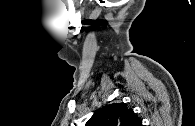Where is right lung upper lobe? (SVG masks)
Here are the masks:
<instances>
[{"label":"right lung upper lobe","mask_w":195,"mask_h":126,"mask_svg":"<svg viewBox=\"0 0 195 126\" xmlns=\"http://www.w3.org/2000/svg\"><path fill=\"white\" fill-rule=\"evenodd\" d=\"M86 126H142V122L125 103H112L96 111Z\"/></svg>","instance_id":"right-lung-upper-lobe-1"}]
</instances>
